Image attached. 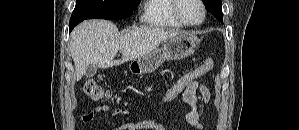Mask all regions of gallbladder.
<instances>
[{
	"mask_svg": "<svg viewBox=\"0 0 299 130\" xmlns=\"http://www.w3.org/2000/svg\"><path fill=\"white\" fill-rule=\"evenodd\" d=\"M96 72H97V67L90 64V65L86 66L84 75L88 78H91L96 74Z\"/></svg>",
	"mask_w": 299,
	"mask_h": 130,
	"instance_id": "1",
	"label": "gallbladder"
}]
</instances>
